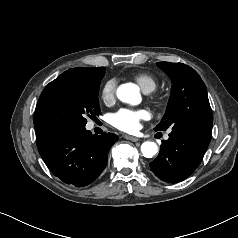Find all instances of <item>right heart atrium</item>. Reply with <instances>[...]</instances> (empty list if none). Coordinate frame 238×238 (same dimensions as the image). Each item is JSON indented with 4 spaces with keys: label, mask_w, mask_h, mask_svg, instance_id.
Wrapping results in <instances>:
<instances>
[{
    "label": "right heart atrium",
    "mask_w": 238,
    "mask_h": 238,
    "mask_svg": "<svg viewBox=\"0 0 238 238\" xmlns=\"http://www.w3.org/2000/svg\"><path fill=\"white\" fill-rule=\"evenodd\" d=\"M116 80H106L100 89V98L105 104H112L116 97Z\"/></svg>",
    "instance_id": "obj_1"
}]
</instances>
